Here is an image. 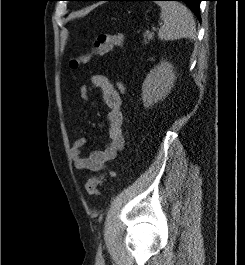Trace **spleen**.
Returning a JSON list of instances; mask_svg holds the SVG:
<instances>
[{"label": "spleen", "instance_id": "obj_1", "mask_svg": "<svg viewBox=\"0 0 245 265\" xmlns=\"http://www.w3.org/2000/svg\"><path fill=\"white\" fill-rule=\"evenodd\" d=\"M161 8L160 18L164 24L160 27V40H177L195 37L196 25L192 13L180 2L158 1Z\"/></svg>", "mask_w": 245, "mask_h": 265}]
</instances>
